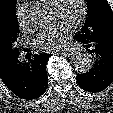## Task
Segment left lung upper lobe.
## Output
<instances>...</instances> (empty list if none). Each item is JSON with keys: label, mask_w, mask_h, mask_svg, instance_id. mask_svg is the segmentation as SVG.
<instances>
[{"label": "left lung upper lobe", "mask_w": 113, "mask_h": 113, "mask_svg": "<svg viewBox=\"0 0 113 113\" xmlns=\"http://www.w3.org/2000/svg\"><path fill=\"white\" fill-rule=\"evenodd\" d=\"M87 18L78 34L88 36V39L97 36L113 37V12L107 0H86ZM90 37V38H89Z\"/></svg>", "instance_id": "obj_1"}]
</instances>
